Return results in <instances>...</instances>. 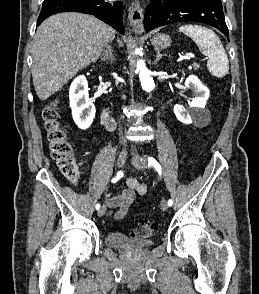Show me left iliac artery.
I'll return each instance as SVG.
<instances>
[{
	"mask_svg": "<svg viewBox=\"0 0 259 294\" xmlns=\"http://www.w3.org/2000/svg\"><path fill=\"white\" fill-rule=\"evenodd\" d=\"M148 166H153L156 171L158 172V174L161 176V166L160 164L153 158V157H149L148 158ZM173 204V201L171 199L168 200V206H172Z\"/></svg>",
	"mask_w": 259,
	"mask_h": 294,
	"instance_id": "44dca946",
	"label": "left iliac artery"
}]
</instances>
